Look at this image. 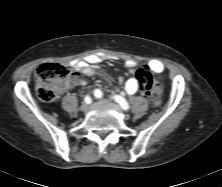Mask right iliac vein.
<instances>
[{
    "instance_id": "63e3f726",
    "label": "right iliac vein",
    "mask_w": 222,
    "mask_h": 187,
    "mask_svg": "<svg viewBox=\"0 0 222 187\" xmlns=\"http://www.w3.org/2000/svg\"><path fill=\"white\" fill-rule=\"evenodd\" d=\"M88 109V104L87 103H83L80 106V111L85 112Z\"/></svg>"
}]
</instances>
